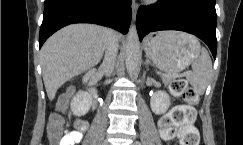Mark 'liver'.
Returning <instances> with one entry per match:
<instances>
[{"label": "liver", "instance_id": "obj_1", "mask_svg": "<svg viewBox=\"0 0 243 145\" xmlns=\"http://www.w3.org/2000/svg\"><path fill=\"white\" fill-rule=\"evenodd\" d=\"M109 32L98 25L74 24L59 30L45 42L41 49V68L50 101L66 81L99 63Z\"/></svg>", "mask_w": 243, "mask_h": 145}]
</instances>
